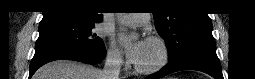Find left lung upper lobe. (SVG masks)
<instances>
[{
	"label": "left lung upper lobe",
	"instance_id": "1",
	"mask_svg": "<svg viewBox=\"0 0 255 79\" xmlns=\"http://www.w3.org/2000/svg\"><path fill=\"white\" fill-rule=\"evenodd\" d=\"M158 3L160 5L167 4ZM156 29L166 41L169 62L175 61L194 48L215 45L212 22L206 13L158 8L153 12Z\"/></svg>",
	"mask_w": 255,
	"mask_h": 79
}]
</instances>
